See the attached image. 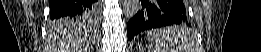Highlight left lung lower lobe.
Instances as JSON below:
<instances>
[{
	"instance_id": "1",
	"label": "left lung lower lobe",
	"mask_w": 261,
	"mask_h": 52,
	"mask_svg": "<svg viewBox=\"0 0 261 52\" xmlns=\"http://www.w3.org/2000/svg\"><path fill=\"white\" fill-rule=\"evenodd\" d=\"M186 9L182 0H141L140 10L127 24L128 39L152 28L187 25Z\"/></svg>"
}]
</instances>
